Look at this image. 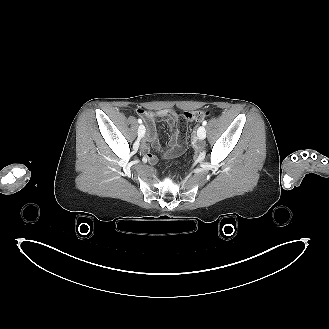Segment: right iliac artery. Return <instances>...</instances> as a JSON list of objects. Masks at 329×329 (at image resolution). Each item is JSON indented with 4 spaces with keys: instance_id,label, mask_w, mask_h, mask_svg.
Listing matches in <instances>:
<instances>
[{
    "instance_id": "82829eb1",
    "label": "right iliac artery",
    "mask_w": 329,
    "mask_h": 329,
    "mask_svg": "<svg viewBox=\"0 0 329 329\" xmlns=\"http://www.w3.org/2000/svg\"><path fill=\"white\" fill-rule=\"evenodd\" d=\"M138 123H140V124L142 123V120L140 118L138 119Z\"/></svg>"
}]
</instances>
